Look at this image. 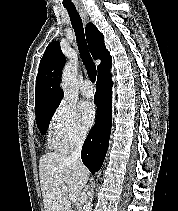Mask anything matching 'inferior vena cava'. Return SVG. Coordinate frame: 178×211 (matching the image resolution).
I'll return each mask as SVG.
<instances>
[{"mask_svg": "<svg viewBox=\"0 0 178 211\" xmlns=\"http://www.w3.org/2000/svg\"><path fill=\"white\" fill-rule=\"evenodd\" d=\"M85 138H86V131L84 130L80 131L74 140V149L69 157L71 160L77 161L80 164H82L81 151Z\"/></svg>", "mask_w": 178, "mask_h": 211, "instance_id": "602c4592", "label": "inferior vena cava"}]
</instances>
